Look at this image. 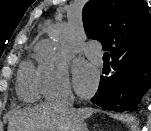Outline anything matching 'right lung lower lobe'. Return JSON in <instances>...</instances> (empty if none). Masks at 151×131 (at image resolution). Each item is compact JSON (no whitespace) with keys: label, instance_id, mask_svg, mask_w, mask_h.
Wrapping results in <instances>:
<instances>
[{"label":"right lung lower lobe","instance_id":"98d812e1","mask_svg":"<svg viewBox=\"0 0 151 131\" xmlns=\"http://www.w3.org/2000/svg\"><path fill=\"white\" fill-rule=\"evenodd\" d=\"M110 77H102L99 89L91 101L105 110L134 111L151 82V60L130 66L111 63Z\"/></svg>","mask_w":151,"mask_h":131}]
</instances>
